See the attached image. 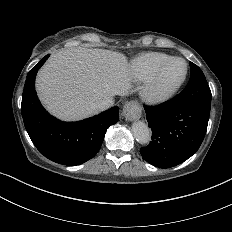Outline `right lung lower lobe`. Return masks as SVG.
<instances>
[{
	"mask_svg": "<svg viewBox=\"0 0 232 232\" xmlns=\"http://www.w3.org/2000/svg\"><path fill=\"white\" fill-rule=\"evenodd\" d=\"M48 57L27 75L21 104L25 128L45 157L59 164L80 165L99 151L108 127L119 119V107L78 122H62L51 116L42 107L35 91L37 71Z\"/></svg>",
	"mask_w": 232,
	"mask_h": 232,
	"instance_id": "right-lung-lower-lobe-1",
	"label": "right lung lower lobe"
}]
</instances>
